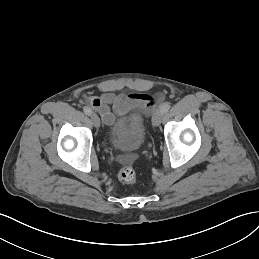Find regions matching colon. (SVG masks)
I'll return each instance as SVG.
<instances>
[{
	"label": "colon",
	"instance_id": "5ec220e1",
	"mask_svg": "<svg viewBox=\"0 0 259 259\" xmlns=\"http://www.w3.org/2000/svg\"><path fill=\"white\" fill-rule=\"evenodd\" d=\"M121 182L132 184L137 181V173L132 167H124L118 173Z\"/></svg>",
	"mask_w": 259,
	"mask_h": 259
}]
</instances>
